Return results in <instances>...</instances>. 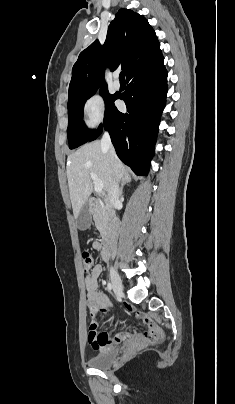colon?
Returning <instances> with one entry per match:
<instances>
[{"instance_id": "5ec220e1", "label": "colon", "mask_w": 235, "mask_h": 404, "mask_svg": "<svg viewBox=\"0 0 235 404\" xmlns=\"http://www.w3.org/2000/svg\"><path fill=\"white\" fill-rule=\"evenodd\" d=\"M80 257H81V262H82V268L84 272H88L92 265H93V258L89 250L83 249L80 252ZM88 328L89 331L92 333H95L97 330V321L95 318V315L90 316L89 318V323H88ZM146 336L151 340V341H160L162 339V333L154 328H150L145 332Z\"/></svg>"}]
</instances>
